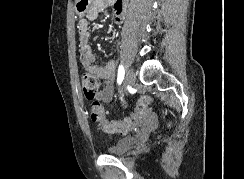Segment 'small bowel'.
Returning <instances> with one entry per match:
<instances>
[{"instance_id":"obj_1","label":"small bowel","mask_w":244,"mask_h":179,"mask_svg":"<svg viewBox=\"0 0 244 179\" xmlns=\"http://www.w3.org/2000/svg\"><path fill=\"white\" fill-rule=\"evenodd\" d=\"M109 6L113 8L115 25L121 26L126 18L125 4L121 1L110 0H92L91 3H88L87 18H79L78 24L81 63L86 71L95 74L104 81V86L97 94V98L104 102H110L114 94L113 84L115 81L116 62L115 60H109L103 65L96 64L97 53L89 44V40L91 36L90 24ZM134 116L138 118L136 126H156L157 124L155 116H151L147 110L140 114H135ZM136 126L127 127L132 129Z\"/></svg>"}]
</instances>
